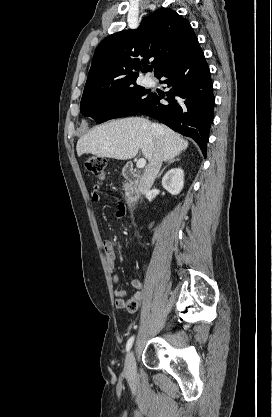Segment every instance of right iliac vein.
Returning <instances> with one entry per match:
<instances>
[{"label": "right iliac vein", "mask_w": 272, "mask_h": 417, "mask_svg": "<svg viewBox=\"0 0 272 417\" xmlns=\"http://www.w3.org/2000/svg\"><path fill=\"white\" fill-rule=\"evenodd\" d=\"M135 373H136L135 356H134V352L131 351L129 352L125 360V374L128 377L133 378L135 376Z\"/></svg>", "instance_id": "1"}]
</instances>
